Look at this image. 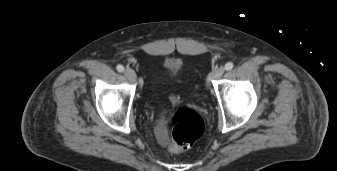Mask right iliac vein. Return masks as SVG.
<instances>
[{
    "instance_id": "1",
    "label": "right iliac vein",
    "mask_w": 337,
    "mask_h": 171,
    "mask_svg": "<svg viewBox=\"0 0 337 171\" xmlns=\"http://www.w3.org/2000/svg\"><path fill=\"white\" fill-rule=\"evenodd\" d=\"M124 75L126 76V78L130 81V82H135L137 79L136 73L134 70L127 68L124 71Z\"/></svg>"
}]
</instances>
